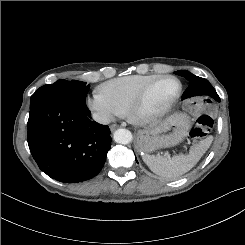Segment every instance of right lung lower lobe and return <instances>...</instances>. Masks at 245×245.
Segmentation results:
<instances>
[{
    "label": "right lung lower lobe",
    "instance_id": "1",
    "mask_svg": "<svg viewBox=\"0 0 245 245\" xmlns=\"http://www.w3.org/2000/svg\"><path fill=\"white\" fill-rule=\"evenodd\" d=\"M28 145L48 176L82 182L102 169L111 147L110 129L92 121L86 105L46 100L30 107Z\"/></svg>",
    "mask_w": 245,
    "mask_h": 245
}]
</instances>
